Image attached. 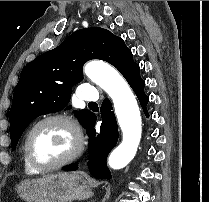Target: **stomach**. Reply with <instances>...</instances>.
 Segmentation results:
<instances>
[{
	"label": "stomach",
	"mask_w": 209,
	"mask_h": 202,
	"mask_svg": "<svg viewBox=\"0 0 209 202\" xmlns=\"http://www.w3.org/2000/svg\"><path fill=\"white\" fill-rule=\"evenodd\" d=\"M16 191L26 202H72L93 195L92 186L79 173L49 174L20 182Z\"/></svg>",
	"instance_id": "1"
}]
</instances>
